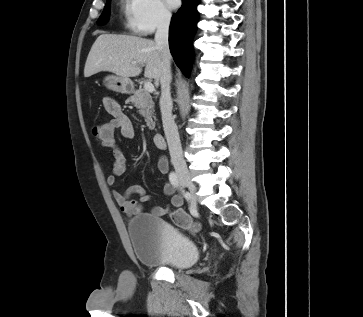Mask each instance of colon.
<instances>
[{"instance_id":"colon-1","label":"colon","mask_w":363,"mask_h":317,"mask_svg":"<svg viewBox=\"0 0 363 317\" xmlns=\"http://www.w3.org/2000/svg\"><path fill=\"white\" fill-rule=\"evenodd\" d=\"M100 125H95L93 127V134H98ZM170 217L173 223L179 228L190 230L193 232H197L200 229V226L197 222L193 221V219L184 211L175 209L170 213Z\"/></svg>"}]
</instances>
